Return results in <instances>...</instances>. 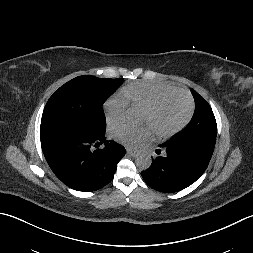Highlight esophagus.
<instances>
[{
    "mask_svg": "<svg viewBox=\"0 0 253 253\" xmlns=\"http://www.w3.org/2000/svg\"><path fill=\"white\" fill-rule=\"evenodd\" d=\"M127 154H129L130 156L135 157L137 155V151L134 149H127Z\"/></svg>",
    "mask_w": 253,
    "mask_h": 253,
    "instance_id": "esophagus-1",
    "label": "esophagus"
}]
</instances>
